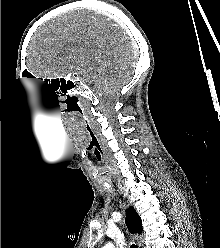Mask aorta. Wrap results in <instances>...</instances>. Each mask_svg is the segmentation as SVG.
<instances>
[{"label":"aorta","instance_id":"obj_1","mask_svg":"<svg viewBox=\"0 0 220 248\" xmlns=\"http://www.w3.org/2000/svg\"><path fill=\"white\" fill-rule=\"evenodd\" d=\"M103 248H114V246L112 243H108Z\"/></svg>","mask_w":220,"mask_h":248}]
</instances>
